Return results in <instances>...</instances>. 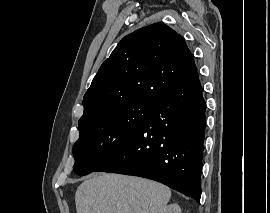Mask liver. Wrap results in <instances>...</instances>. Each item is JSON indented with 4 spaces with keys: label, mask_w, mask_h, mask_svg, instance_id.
Masks as SVG:
<instances>
[{
    "label": "liver",
    "mask_w": 270,
    "mask_h": 213,
    "mask_svg": "<svg viewBox=\"0 0 270 213\" xmlns=\"http://www.w3.org/2000/svg\"><path fill=\"white\" fill-rule=\"evenodd\" d=\"M171 190L157 182L118 174H96L76 190L77 213H158Z\"/></svg>",
    "instance_id": "6515ba94"
}]
</instances>
